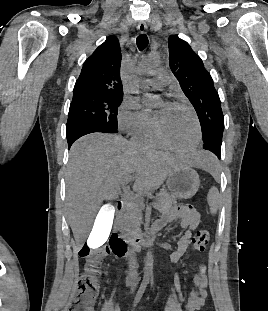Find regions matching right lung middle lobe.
Segmentation results:
<instances>
[{
  "label": "right lung middle lobe",
  "mask_w": 268,
  "mask_h": 311,
  "mask_svg": "<svg viewBox=\"0 0 268 311\" xmlns=\"http://www.w3.org/2000/svg\"><path fill=\"white\" fill-rule=\"evenodd\" d=\"M122 98L99 93H73L66 131L81 124H90L106 132L116 133L118 107Z\"/></svg>",
  "instance_id": "1"
}]
</instances>
